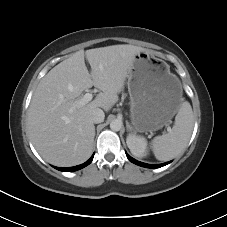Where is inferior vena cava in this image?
<instances>
[{
  "label": "inferior vena cava",
  "instance_id": "obj_1",
  "mask_svg": "<svg viewBox=\"0 0 227 227\" xmlns=\"http://www.w3.org/2000/svg\"><path fill=\"white\" fill-rule=\"evenodd\" d=\"M104 112L100 108H96L93 110L92 115H91V121L93 123H101L104 121Z\"/></svg>",
  "mask_w": 227,
  "mask_h": 227
}]
</instances>
